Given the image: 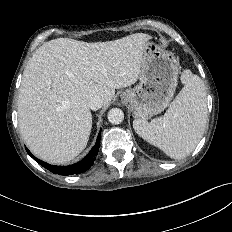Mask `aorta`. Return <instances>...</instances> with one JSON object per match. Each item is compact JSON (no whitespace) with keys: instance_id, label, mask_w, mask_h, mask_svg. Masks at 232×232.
<instances>
[{"instance_id":"obj_1","label":"aorta","mask_w":232,"mask_h":232,"mask_svg":"<svg viewBox=\"0 0 232 232\" xmlns=\"http://www.w3.org/2000/svg\"><path fill=\"white\" fill-rule=\"evenodd\" d=\"M108 120L112 124H120L124 120V113L120 108H112L108 112Z\"/></svg>"}]
</instances>
